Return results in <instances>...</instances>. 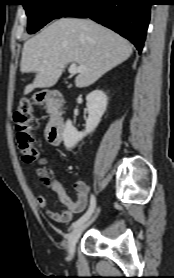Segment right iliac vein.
Listing matches in <instances>:
<instances>
[{"mask_svg":"<svg viewBox=\"0 0 174 278\" xmlns=\"http://www.w3.org/2000/svg\"><path fill=\"white\" fill-rule=\"evenodd\" d=\"M94 218L95 217H93L91 220L87 221L85 224L76 227L69 234V236H68V244H67L69 259H72L73 256H74L76 243H77L78 239L80 238L83 230L94 220Z\"/></svg>","mask_w":174,"mask_h":278,"instance_id":"obj_1","label":"right iliac vein"}]
</instances>
